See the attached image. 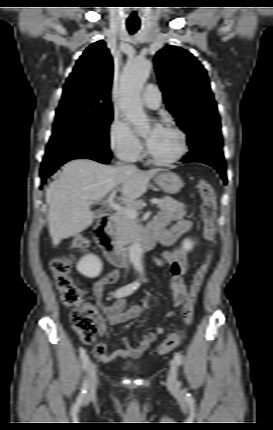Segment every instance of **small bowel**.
I'll return each instance as SVG.
<instances>
[{
	"instance_id": "c3829d8e",
	"label": "small bowel",
	"mask_w": 273,
	"mask_h": 430,
	"mask_svg": "<svg viewBox=\"0 0 273 430\" xmlns=\"http://www.w3.org/2000/svg\"><path fill=\"white\" fill-rule=\"evenodd\" d=\"M178 220L171 229H165V225L171 220ZM191 227V222L184 218V213L162 212L158 220L151 226L149 233H153L158 241L167 247L173 246L182 234ZM154 262L159 267H167L171 274L170 289L172 302L175 307L180 306L186 297V286L183 276L187 272L188 263L184 250L175 248L166 251L161 258H155ZM120 277L119 271H113L98 279L93 285L92 292L97 301L101 314L98 317V329L101 335L106 333V322L117 325L135 320L143 313V307L133 304L127 306L122 298L116 299L110 304L102 302L104 289L107 285L116 282ZM167 317H173L174 311L167 312ZM165 332V328L157 327L154 331L146 332L139 338L136 344H132L128 338H122L124 348L108 352L107 344L98 343L94 348V356L102 362H110L117 358H139L157 340L158 335Z\"/></svg>"
}]
</instances>
